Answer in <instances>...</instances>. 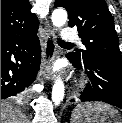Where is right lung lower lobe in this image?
<instances>
[{
  "label": "right lung lower lobe",
  "mask_w": 122,
  "mask_h": 123,
  "mask_svg": "<svg viewBox=\"0 0 122 123\" xmlns=\"http://www.w3.org/2000/svg\"><path fill=\"white\" fill-rule=\"evenodd\" d=\"M36 33L1 36V100L25 96L34 82L41 59Z\"/></svg>",
  "instance_id": "1"
}]
</instances>
